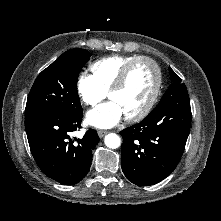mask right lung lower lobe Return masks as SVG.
<instances>
[{"label":"right lung lower lobe","instance_id":"98d812e1","mask_svg":"<svg viewBox=\"0 0 221 221\" xmlns=\"http://www.w3.org/2000/svg\"><path fill=\"white\" fill-rule=\"evenodd\" d=\"M83 112L73 115L50 111L25 118V129L32 155L49 178L74 185L88 173L92 150L99 141L97 132L89 129L83 138L72 139L70 133L81 128Z\"/></svg>","mask_w":221,"mask_h":221}]
</instances>
